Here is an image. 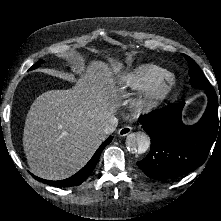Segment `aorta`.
<instances>
[{
  "mask_svg": "<svg viewBox=\"0 0 221 221\" xmlns=\"http://www.w3.org/2000/svg\"><path fill=\"white\" fill-rule=\"evenodd\" d=\"M126 147L132 153L143 154L150 147V138L144 132L130 133L126 138Z\"/></svg>",
  "mask_w": 221,
  "mask_h": 221,
  "instance_id": "obj_1",
  "label": "aorta"
}]
</instances>
